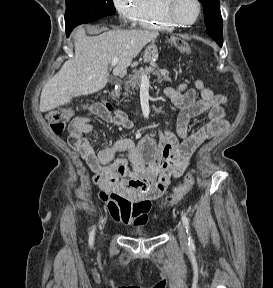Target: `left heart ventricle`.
Here are the masks:
<instances>
[{
    "mask_svg": "<svg viewBox=\"0 0 273 288\" xmlns=\"http://www.w3.org/2000/svg\"><path fill=\"white\" fill-rule=\"evenodd\" d=\"M175 15L182 21L190 22L197 15V6L194 0H176Z\"/></svg>",
    "mask_w": 273,
    "mask_h": 288,
    "instance_id": "b2bd125f",
    "label": "left heart ventricle"
}]
</instances>
